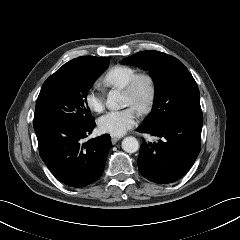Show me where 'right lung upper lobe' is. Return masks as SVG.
Wrapping results in <instances>:
<instances>
[{"label": "right lung upper lobe", "instance_id": "1", "mask_svg": "<svg viewBox=\"0 0 240 240\" xmlns=\"http://www.w3.org/2000/svg\"><path fill=\"white\" fill-rule=\"evenodd\" d=\"M109 57L98 58L94 56H82L75 58L62 67H60L53 75L63 74L69 71L78 70V69H86L95 66L97 63L101 61L108 60Z\"/></svg>", "mask_w": 240, "mask_h": 240}]
</instances>
